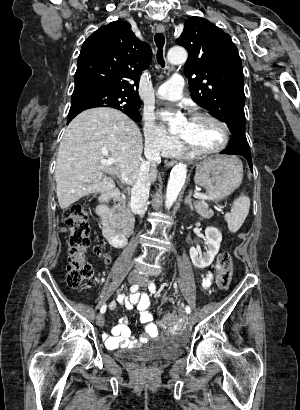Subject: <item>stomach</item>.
<instances>
[{
	"label": "stomach",
	"mask_w": 300,
	"mask_h": 410,
	"mask_svg": "<svg viewBox=\"0 0 300 410\" xmlns=\"http://www.w3.org/2000/svg\"><path fill=\"white\" fill-rule=\"evenodd\" d=\"M243 167L235 157L217 155L197 165L195 182L215 199H222L238 188Z\"/></svg>",
	"instance_id": "1"
}]
</instances>
